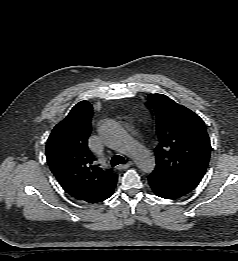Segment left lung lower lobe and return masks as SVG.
<instances>
[{
    "label": "left lung lower lobe",
    "instance_id": "obj_1",
    "mask_svg": "<svg viewBox=\"0 0 238 261\" xmlns=\"http://www.w3.org/2000/svg\"><path fill=\"white\" fill-rule=\"evenodd\" d=\"M148 183L152 191L159 197L165 199H176L184 196L181 191L166 185L164 182L156 179L155 177L148 176Z\"/></svg>",
    "mask_w": 238,
    "mask_h": 261
}]
</instances>
